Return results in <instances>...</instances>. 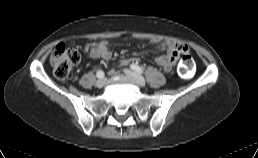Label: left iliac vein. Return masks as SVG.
Wrapping results in <instances>:
<instances>
[{
  "label": "left iliac vein",
  "instance_id": "4c4485c4",
  "mask_svg": "<svg viewBox=\"0 0 258 158\" xmlns=\"http://www.w3.org/2000/svg\"><path fill=\"white\" fill-rule=\"evenodd\" d=\"M124 73L128 77H130L140 87H144L146 85L145 79L140 74H138L130 69H125Z\"/></svg>",
  "mask_w": 258,
  "mask_h": 158
}]
</instances>
